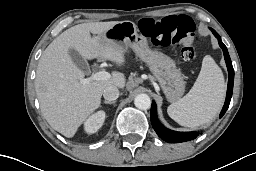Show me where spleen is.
Returning a JSON list of instances; mask_svg holds the SVG:
<instances>
[{
    "instance_id": "obj_1",
    "label": "spleen",
    "mask_w": 256,
    "mask_h": 171,
    "mask_svg": "<svg viewBox=\"0 0 256 171\" xmlns=\"http://www.w3.org/2000/svg\"><path fill=\"white\" fill-rule=\"evenodd\" d=\"M225 82L221 69L206 55L191 90L167 108L168 115L185 127L210 122L221 110L225 98Z\"/></svg>"
}]
</instances>
